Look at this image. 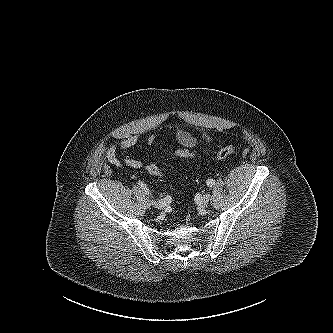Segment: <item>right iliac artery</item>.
Returning a JSON list of instances; mask_svg holds the SVG:
<instances>
[{
	"label": "right iliac artery",
	"instance_id": "obj_1",
	"mask_svg": "<svg viewBox=\"0 0 333 333\" xmlns=\"http://www.w3.org/2000/svg\"><path fill=\"white\" fill-rule=\"evenodd\" d=\"M139 186L142 188V190L145 192V194L147 195H151L149 189L147 188L146 184H144L143 182H138ZM161 202H163L165 205L171 203V197L170 196H166L165 198L160 200Z\"/></svg>",
	"mask_w": 333,
	"mask_h": 333
}]
</instances>
